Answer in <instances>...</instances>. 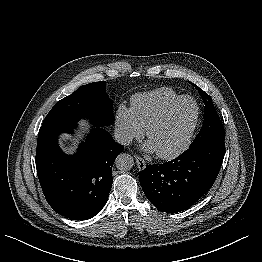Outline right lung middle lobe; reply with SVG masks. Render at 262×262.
Segmentation results:
<instances>
[{
	"label": "right lung middle lobe",
	"mask_w": 262,
	"mask_h": 262,
	"mask_svg": "<svg viewBox=\"0 0 262 262\" xmlns=\"http://www.w3.org/2000/svg\"><path fill=\"white\" fill-rule=\"evenodd\" d=\"M81 118H88L98 127L113 123L112 100L106 93L105 81L83 85L58 101L42 126L75 124Z\"/></svg>",
	"instance_id": "obj_1"
}]
</instances>
